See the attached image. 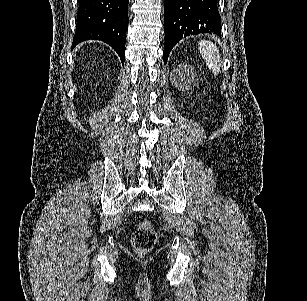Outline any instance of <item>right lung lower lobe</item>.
I'll return each mask as SVG.
<instances>
[{
    "instance_id": "obj_1",
    "label": "right lung lower lobe",
    "mask_w": 307,
    "mask_h": 301,
    "mask_svg": "<svg viewBox=\"0 0 307 301\" xmlns=\"http://www.w3.org/2000/svg\"><path fill=\"white\" fill-rule=\"evenodd\" d=\"M128 3L129 0H79L72 47L85 40H100L110 45L124 63Z\"/></svg>"
}]
</instances>
